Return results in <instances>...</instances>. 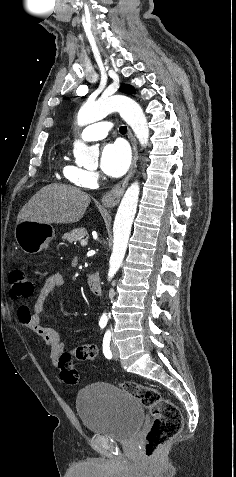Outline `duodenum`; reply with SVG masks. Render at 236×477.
I'll return each mask as SVG.
<instances>
[{
    "label": "duodenum",
    "mask_w": 236,
    "mask_h": 477,
    "mask_svg": "<svg viewBox=\"0 0 236 477\" xmlns=\"http://www.w3.org/2000/svg\"><path fill=\"white\" fill-rule=\"evenodd\" d=\"M88 287L90 291L96 295L102 294V285L100 276L98 274L92 273L88 276L87 279Z\"/></svg>",
    "instance_id": "1"
}]
</instances>
